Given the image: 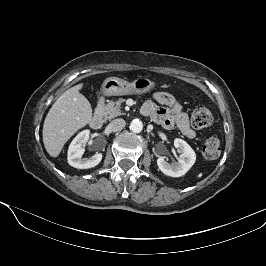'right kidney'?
<instances>
[{"instance_id":"1","label":"right kidney","mask_w":266,"mask_h":266,"mask_svg":"<svg viewBox=\"0 0 266 266\" xmlns=\"http://www.w3.org/2000/svg\"><path fill=\"white\" fill-rule=\"evenodd\" d=\"M89 130L81 131L71 142L68 149V163L74 168L78 169H88L95 167L102 160V154L96 153L89 158H83L84 148L83 146L87 143L89 139Z\"/></svg>"}]
</instances>
